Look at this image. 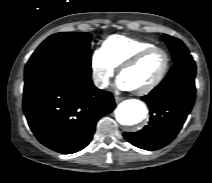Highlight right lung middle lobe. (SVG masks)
<instances>
[{
	"label": "right lung middle lobe",
	"mask_w": 212,
	"mask_h": 183,
	"mask_svg": "<svg viewBox=\"0 0 212 183\" xmlns=\"http://www.w3.org/2000/svg\"><path fill=\"white\" fill-rule=\"evenodd\" d=\"M91 34L86 32H63L48 37L36 49L27 65L34 63H81L91 66Z\"/></svg>",
	"instance_id": "dd1d6c3e"
}]
</instances>
